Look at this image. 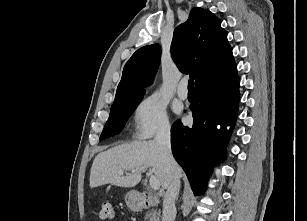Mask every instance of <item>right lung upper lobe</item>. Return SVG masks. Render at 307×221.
Wrapping results in <instances>:
<instances>
[{
    "mask_svg": "<svg viewBox=\"0 0 307 221\" xmlns=\"http://www.w3.org/2000/svg\"><path fill=\"white\" fill-rule=\"evenodd\" d=\"M213 13L193 8L186 22L174 30L171 55L179 70L196 80V92L237 78L227 32ZM161 50L157 44L138 49L124 66L115 102L144 93L156 74Z\"/></svg>",
    "mask_w": 307,
    "mask_h": 221,
    "instance_id": "obj_1",
    "label": "right lung upper lobe"
}]
</instances>
